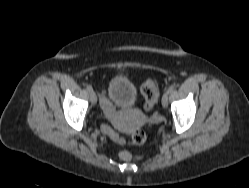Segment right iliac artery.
<instances>
[{
    "label": "right iliac artery",
    "mask_w": 249,
    "mask_h": 188,
    "mask_svg": "<svg viewBox=\"0 0 249 188\" xmlns=\"http://www.w3.org/2000/svg\"><path fill=\"white\" fill-rule=\"evenodd\" d=\"M86 88H87V90H88L89 92L93 91V88H92L91 85H87Z\"/></svg>",
    "instance_id": "obj_1"
}]
</instances>
